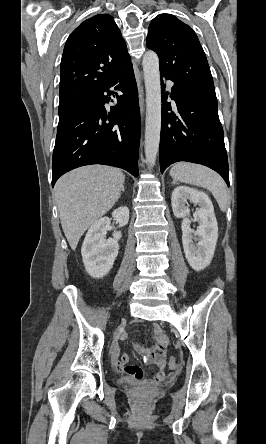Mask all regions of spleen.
Returning <instances> with one entry per match:
<instances>
[{
    "label": "spleen",
    "instance_id": "1",
    "mask_svg": "<svg viewBox=\"0 0 266 444\" xmlns=\"http://www.w3.org/2000/svg\"><path fill=\"white\" fill-rule=\"evenodd\" d=\"M170 175L175 181L209 190L217 200L221 211H226L228 203L226 185L221 176L213 170L198 164L179 162L171 168Z\"/></svg>",
    "mask_w": 266,
    "mask_h": 444
}]
</instances>
